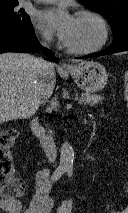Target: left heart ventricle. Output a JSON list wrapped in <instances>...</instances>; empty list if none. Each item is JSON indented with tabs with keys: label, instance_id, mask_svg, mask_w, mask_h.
<instances>
[{
	"label": "left heart ventricle",
	"instance_id": "obj_1",
	"mask_svg": "<svg viewBox=\"0 0 128 213\" xmlns=\"http://www.w3.org/2000/svg\"><path fill=\"white\" fill-rule=\"evenodd\" d=\"M101 37L98 23L91 18H77L72 37L67 44L72 48H87L95 45Z\"/></svg>",
	"mask_w": 128,
	"mask_h": 213
}]
</instances>
